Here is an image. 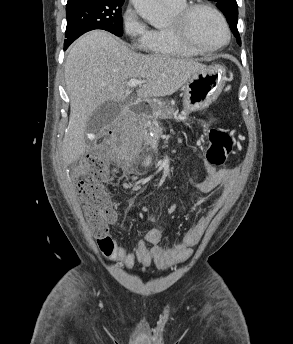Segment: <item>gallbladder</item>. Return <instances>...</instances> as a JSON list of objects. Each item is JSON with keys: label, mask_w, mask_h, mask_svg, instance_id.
I'll return each instance as SVG.
<instances>
[{"label": "gallbladder", "mask_w": 293, "mask_h": 344, "mask_svg": "<svg viewBox=\"0 0 293 344\" xmlns=\"http://www.w3.org/2000/svg\"><path fill=\"white\" fill-rule=\"evenodd\" d=\"M120 110V104L117 102L107 101L103 103L89 117L86 124V131L96 135L103 128L112 124Z\"/></svg>", "instance_id": "1"}]
</instances>
